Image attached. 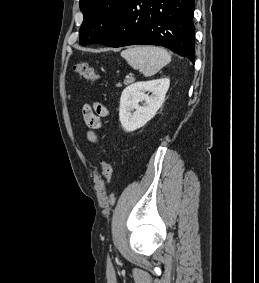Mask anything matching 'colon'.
<instances>
[{
    "label": "colon",
    "mask_w": 259,
    "mask_h": 283,
    "mask_svg": "<svg viewBox=\"0 0 259 283\" xmlns=\"http://www.w3.org/2000/svg\"><path fill=\"white\" fill-rule=\"evenodd\" d=\"M73 70L77 75L84 77L85 79L90 80L92 82H95L99 79V75L96 72V70L86 62L75 63L73 66ZM101 164H102L104 181L106 183H109L113 174L112 165L106 159H102Z\"/></svg>",
    "instance_id": "5ec220e1"
}]
</instances>
